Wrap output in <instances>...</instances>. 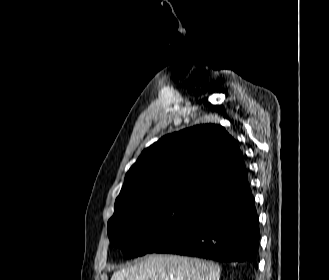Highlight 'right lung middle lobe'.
Listing matches in <instances>:
<instances>
[{
  "label": "right lung middle lobe",
  "mask_w": 329,
  "mask_h": 280,
  "mask_svg": "<svg viewBox=\"0 0 329 280\" xmlns=\"http://www.w3.org/2000/svg\"><path fill=\"white\" fill-rule=\"evenodd\" d=\"M200 201L201 197L179 195L115 204L108 221L110 243L125 258L145 255L174 232Z\"/></svg>",
  "instance_id": "right-lung-middle-lobe-1"
}]
</instances>
